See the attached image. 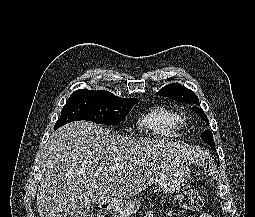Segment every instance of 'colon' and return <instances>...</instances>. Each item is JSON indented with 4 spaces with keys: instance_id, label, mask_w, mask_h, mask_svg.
I'll use <instances>...</instances> for the list:
<instances>
[{
    "instance_id": "1",
    "label": "colon",
    "mask_w": 255,
    "mask_h": 217,
    "mask_svg": "<svg viewBox=\"0 0 255 217\" xmlns=\"http://www.w3.org/2000/svg\"><path fill=\"white\" fill-rule=\"evenodd\" d=\"M175 199L179 206L187 211H199L203 205V200L199 192L191 187H186L181 190Z\"/></svg>"
}]
</instances>
